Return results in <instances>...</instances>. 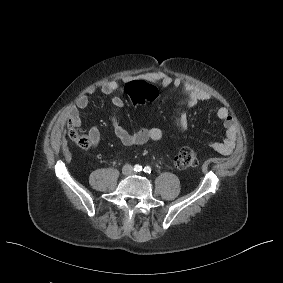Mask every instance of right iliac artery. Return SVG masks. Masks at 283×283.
<instances>
[{
    "instance_id": "1",
    "label": "right iliac artery",
    "mask_w": 283,
    "mask_h": 283,
    "mask_svg": "<svg viewBox=\"0 0 283 283\" xmlns=\"http://www.w3.org/2000/svg\"><path fill=\"white\" fill-rule=\"evenodd\" d=\"M142 170V166L141 165H135L134 166V171H136V172H140Z\"/></svg>"
}]
</instances>
